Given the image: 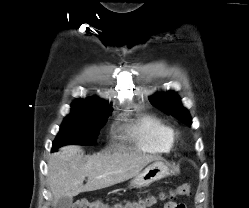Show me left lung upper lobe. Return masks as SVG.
Listing matches in <instances>:
<instances>
[{
	"label": "left lung upper lobe",
	"mask_w": 249,
	"mask_h": 208,
	"mask_svg": "<svg viewBox=\"0 0 249 208\" xmlns=\"http://www.w3.org/2000/svg\"><path fill=\"white\" fill-rule=\"evenodd\" d=\"M150 102L164 112L170 113L178 120L191 125L192 119L174 92L157 93L149 98Z\"/></svg>",
	"instance_id": "left-lung-upper-lobe-1"
}]
</instances>
